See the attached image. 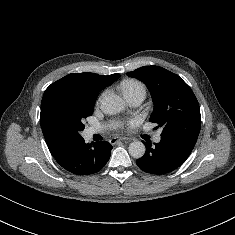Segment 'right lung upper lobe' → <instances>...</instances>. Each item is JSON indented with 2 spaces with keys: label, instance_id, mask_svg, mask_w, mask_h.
Returning <instances> with one entry per match:
<instances>
[{
  "label": "right lung upper lobe",
  "instance_id": "obj_1",
  "mask_svg": "<svg viewBox=\"0 0 235 235\" xmlns=\"http://www.w3.org/2000/svg\"><path fill=\"white\" fill-rule=\"evenodd\" d=\"M119 74L108 76L95 73H71L52 83L44 92L41 102L40 123L49 151L54 156L69 143H59L52 138L44 124V114L49 102L57 95L67 92H81L98 96L101 89L112 84L119 78Z\"/></svg>",
  "mask_w": 235,
  "mask_h": 235
}]
</instances>
